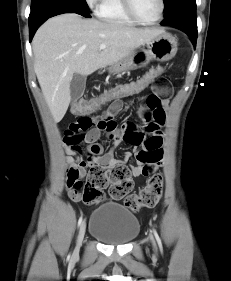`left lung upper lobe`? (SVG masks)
<instances>
[{
	"label": "left lung upper lobe",
	"instance_id": "left-lung-upper-lobe-1",
	"mask_svg": "<svg viewBox=\"0 0 231 281\" xmlns=\"http://www.w3.org/2000/svg\"><path fill=\"white\" fill-rule=\"evenodd\" d=\"M164 1V18L174 13L176 10L196 6L195 0H163Z\"/></svg>",
	"mask_w": 231,
	"mask_h": 281
}]
</instances>
